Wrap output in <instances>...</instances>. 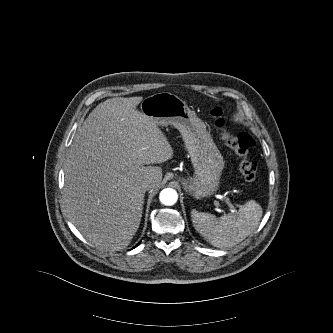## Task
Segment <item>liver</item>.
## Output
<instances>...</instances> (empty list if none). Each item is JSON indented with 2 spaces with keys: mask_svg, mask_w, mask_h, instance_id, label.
Returning <instances> with one entry per match:
<instances>
[{
  "mask_svg": "<svg viewBox=\"0 0 333 333\" xmlns=\"http://www.w3.org/2000/svg\"><path fill=\"white\" fill-rule=\"evenodd\" d=\"M142 100L118 97L99 104L69 149L65 210L100 250L118 251L130 244L142 217L143 184L152 178L156 188L162 180V168L151 165L173 157L157 124L136 110Z\"/></svg>",
  "mask_w": 333,
  "mask_h": 333,
  "instance_id": "obj_1",
  "label": "liver"
}]
</instances>
